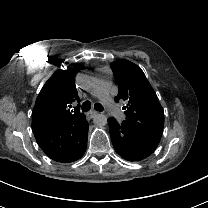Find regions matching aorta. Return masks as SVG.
<instances>
[{
  "instance_id": "762f6f07",
  "label": "aorta",
  "mask_w": 208,
  "mask_h": 208,
  "mask_svg": "<svg viewBox=\"0 0 208 208\" xmlns=\"http://www.w3.org/2000/svg\"><path fill=\"white\" fill-rule=\"evenodd\" d=\"M108 122V117L104 113H96L93 118V123L97 126H105Z\"/></svg>"
}]
</instances>
